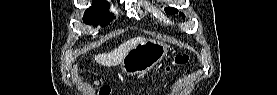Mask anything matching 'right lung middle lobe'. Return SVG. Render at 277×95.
Listing matches in <instances>:
<instances>
[{
	"label": "right lung middle lobe",
	"instance_id": "1",
	"mask_svg": "<svg viewBox=\"0 0 277 95\" xmlns=\"http://www.w3.org/2000/svg\"><path fill=\"white\" fill-rule=\"evenodd\" d=\"M108 3L106 2H97L94 3L93 6L88 8L84 14L83 21L86 24L93 25L101 21V26L105 27L108 24V21L113 17L112 14L107 12Z\"/></svg>",
	"mask_w": 277,
	"mask_h": 95
}]
</instances>
